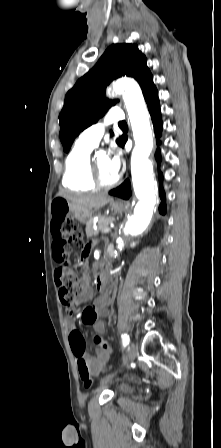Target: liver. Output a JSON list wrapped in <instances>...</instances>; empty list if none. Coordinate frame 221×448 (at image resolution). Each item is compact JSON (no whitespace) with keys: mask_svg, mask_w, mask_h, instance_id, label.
<instances>
[{"mask_svg":"<svg viewBox=\"0 0 221 448\" xmlns=\"http://www.w3.org/2000/svg\"><path fill=\"white\" fill-rule=\"evenodd\" d=\"M58 195L66 199L73 206V208L79 210H97L112 201V198L106 193L90 195H71L67 193H59Z\"/></svg>","mask_w":221,"mask_h":448,"instance_id":"obj_1","label":"liver"}]
</instances>
